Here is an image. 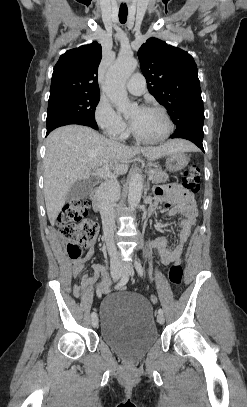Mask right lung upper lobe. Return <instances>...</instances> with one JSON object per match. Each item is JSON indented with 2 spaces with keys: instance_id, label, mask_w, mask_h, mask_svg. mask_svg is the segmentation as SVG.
<instances>
[{
  "instance_id": "right-lung-upper-lobe-1",
  "label": "right lung upper lobe",
  "mask_w": 247,
  "mask_h": 407,
  "mask_svg": "<svg viewBox=\"0 0 247 407\" xmlns=\"http://www.w3.org/2000/svg\"><path fill=\"white\" fill-rule=\"evenodd\" d=\"M101 45L93 42L67 51L54 67L50 94L57 92L99 93L97 82Z\"/></svg>"
}]
</instances>
